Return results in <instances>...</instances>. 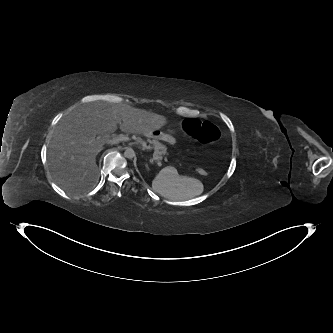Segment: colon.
<instances>
[{
    "label": "colon",
    "mask_w": 333,
    "mask_h": 333,
    "mask_svg": "<svg viewBox=\"0 0 333 333\" xmlns=\"http://www.w3.org/2000/svg\"><path fill=\"white\" fill-rule=\"evenodd\" d=\"M183 131L202 143H214L221 138V132L214 124L193 118H186L182 122ZM200 175H205L203 169H198Z\"/></svg>",
    "instance_id": "obj_1"
}]
</instances>
